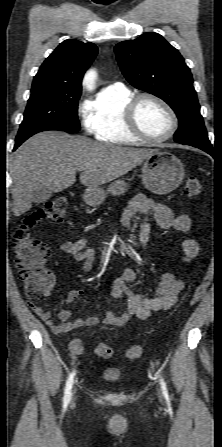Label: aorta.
Wrapping results in <instances>:
<instances>
[{
    "instance_id": "1",
    "label": "aorta",
    "mask_w": 222,
    "mask_h": 447,
    "mask_svg": "<svg viewBox=\"0 0 222 447\" xmlns=\"http://www.w3.org/2000/svg\"><path fill=\"white\" fill-rule=\"evenodd\" d=\"M97 78V74L95 72V70H89L85 77H84V85L88 88V89H92L95 85V81Z\"/></svg>"
}]
</instances>
